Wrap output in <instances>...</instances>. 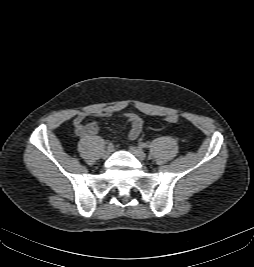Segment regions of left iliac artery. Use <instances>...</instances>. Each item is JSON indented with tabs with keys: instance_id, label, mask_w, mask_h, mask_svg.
Wrapping results in <instances>:
<instances>
[{
	"instance_id": "left-iliac-artery-1",
	"label": "left iliac artery",
	"mask_w": 254,
	"mask_h": 267,
	"mask_svg": "<svg viewBox=\"0 0 254 267\" xmlns=\"http://www.w3.org/2000/svg\"><path fill=\"white\" fill-rule=\"evenodd\" d=\"M139 147H140V148H148L149 145H148L147 143L140 142V143H139Z\"/></svg>"
}]
</instances>
